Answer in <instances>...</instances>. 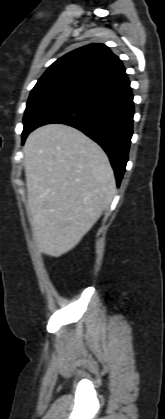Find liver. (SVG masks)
<instances>
[{
	"label": "liver",
	"instance_id": "1",
	"mask_svg": "<svg viewBox=\"0 0 165 419\" xmlns=\"http://www.w3.org/2000/svg\"><path fill=\"white\" fill-rule=\"evenodd\" d=\"M23 153L37 249L59 257L73 249L108 209L116 189L113 169L98 144L63 124L34 130Z\"/></svg>",
	"mask_w": 165,
	"mask_h": 419
}]
</instances>
